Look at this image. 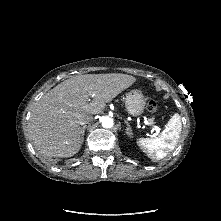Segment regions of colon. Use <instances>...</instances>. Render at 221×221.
I'll list each match as a JSON object with an SVG mask.
<instances>
[{
  "label": "colon",
  "instance_id": "5ec220e1",
  "mask_svg": "<svg viewBox=\"0 0 221 221\" xmlns=\"http://www.w3.org/2000/svg\"><path fill=\"white\" fill-rule=\"evenodd\" d=\"M147 109H148V111H150L152 113L156 112L157 106H156L155 102L154 101H149L148 104H147Z\"/></svg>",
  "mask_w": 221,
  "mask_h": 221
}]
</instances>
